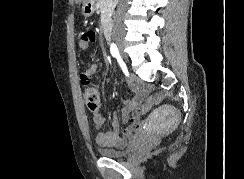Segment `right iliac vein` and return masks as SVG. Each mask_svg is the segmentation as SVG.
Here are the masks:
<instances>
[{
    "instance_id": "right-iliac-vein-1",
    "label": "right iliac vein",
    "mask_w": 244,
    "mask_h": 179,
    "mask_svg": "<svg viewBox=\"0 0 244 179\" xmlns=\"http://www.w3.org/2000/svg\"><path fill=\"white\" fill-rule=\"evenodd\" d=\"M117 47L122 51V49H123V43L122 42H118L117 43ZM123 58L126 59V56L123 55Z\"/></svg>"
}]
</instances>
